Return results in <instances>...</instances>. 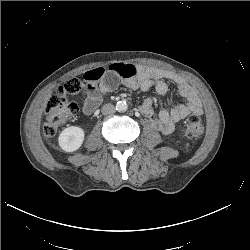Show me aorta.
<instances>
[{"label": "aorta", "instance_id": "obj_1", "mask_svg": "<svg viewBox=\"0 0 250 250\" xmlns=\"http://www.w3.org/2000/svg\"><path fill=\"white\" fill-rule=\"evenodd\" d=\"M128 109V105L125 101H119L116 104V110L119 112H125Z\"/></svg>", "mask_w": 250, "mask_h": 250}]
</instances>
